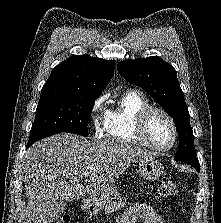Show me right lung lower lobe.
Segmentation results:
<instances>
[{"mask_svg":"<svg viewBox=\"0 0 221 223\" xmlns=\"http://www.w3.org/2000/svg\"><path fill=\"white\" fill-rule=\"evenodd\" d=\"M31 145H32V144H29V143H28V144H27V148H28L29 146H31Z\"/></svg>","mask_w":221,"mask_h":223,"instance_id":"98d812e1","label":"right lung lower lobe"}]
</instances>
